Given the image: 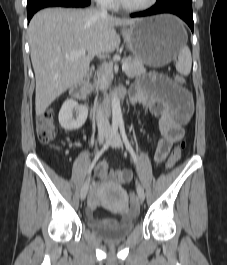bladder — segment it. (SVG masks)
I'll use <instances>...</instances> for the list:
<instances>
[{
    "mask_svg": "<svg viewBox=\"0 0 227 265\" xmlns=\"http://www.w3.org/2000/svg\"><path fill=\"white\" fill-rule=\"evenodd\" d=\"M88 227L99 238L117 242L128 237L135 227V217L125 216L120 219L110 220L90 216L87 220Z\"/></svg>",
    "mask_w": 227,
    "mask_h": 265,
    "instance_id": "1",
    "label": "bladder"
}]
</instances>
